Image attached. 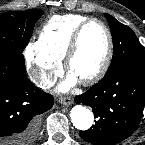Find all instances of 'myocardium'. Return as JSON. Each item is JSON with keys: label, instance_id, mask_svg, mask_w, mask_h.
Here are the masks:
<instances>
[{"label": "myocardium", "instance_id": "1", "mask_svg": "<svg viewBox=\"0 0 145 145\" xmlns=\"http://www.w3.org/2000/svg\"><path fill=\"white\" fill-rule=\"evenodd\" d=\"M91 23H97L103 28L107 38V49L100 66L90 75L79 79V81L84 85L93 84L99 81L105 75L111 64L114 50L113 37L109 27L100 19L88 18L85 21H83L73 33V36L70 40V43L63 58L65 70L67 72H70L72 60L79 50L82 33L84 29Z\"/></svg>", "mask_w": 145, "mask_h": 145}]
</instances>
